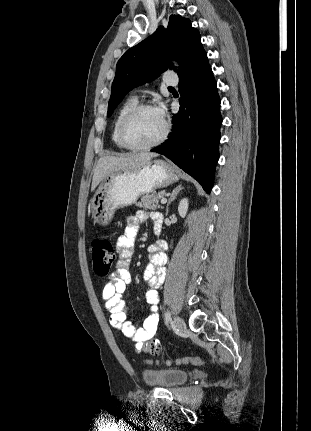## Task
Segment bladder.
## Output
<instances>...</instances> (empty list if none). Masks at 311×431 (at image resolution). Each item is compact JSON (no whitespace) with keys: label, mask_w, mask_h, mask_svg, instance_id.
<instances>
[{"label":"bladder","mask_w":311,"mask_h":431,"mask_svg":"<svg viewBox=\"0 0 311 431\" xmlns=\"http://www.w3.org/2000/svg\"><path fill=\"white\" fill-rule=\"evenodd\" d=\"M142 378L149 386L171 389L184 384L189 373L180 368H148L142 371Z\"/></svg>","instance_id":"bladder-1"}]
</instances>
